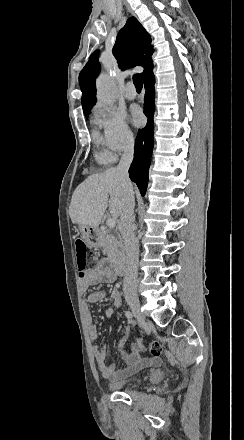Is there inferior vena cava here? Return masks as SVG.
Wrapping results in <instances>:
<instances>
[{
    "mask_svg": "<svg viewBox=\"0 0 244 440\" xmlns=\"http://www.w3.org/2000/svg\"><path fill=\"white\" fill-rule=\"evenodd\" d=\"M134 142L128 144L127 150L122 154V158L116 168L117 174L120 178L121 186L125 192L122 202V210L120 214V234L124 240L126 260H125V274L123 280V294H136L137 292V272H138V256L139 246L138 240L134 234V192L132 184L129 180L128 170L133 160Z\"/></svg>",
    "mask_w": 244,
    "mask_h": 440,
    "instance_id": "inferior-vena-cava-1",
    "label": "inferior vena cava"
}]
</instances>
